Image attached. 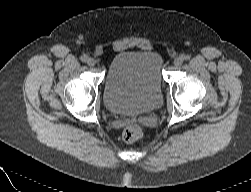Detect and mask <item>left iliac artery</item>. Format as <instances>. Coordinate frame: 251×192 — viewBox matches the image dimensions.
Segmentation results:
<instances>
[{
  "instance_id": "left-iliac-artery-1",
  "label": "left iliac artery",
  "mask_w": 251,
  "mask_h": 192,
  "mask_svg": "<svg viewBox=\"0 0 251 192\" xmlns=\"http://www.w3.org/2000/svg\"><path fill=\"white\" fill-rule=\"evenodd\" d=\"M183 60H186V61H187V60H190V56H189V55H184V56H183Z\"/></svg>"
}]
</instances>
